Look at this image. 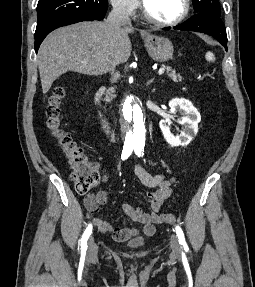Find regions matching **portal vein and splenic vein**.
Instances as JSON below:
<instances>
[{"mask_svg": "<svg viewBox=\"0 0 255 287\" xmlns=\"http://www.w3.org/2000/svg\"><path fill=\"white\" fill-rule=\"evenodd\" d=\"M158 74H159V76H161V74H164V68H160Z\"/></svg>", "mask_w": 255, "mask_h": 287, "instance_id": "1", "label": "portal vein and splenic vein"}]
</instances>
